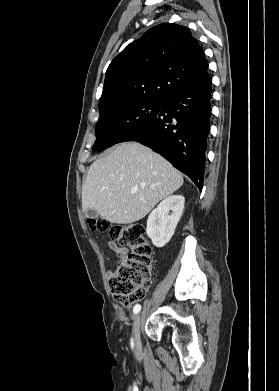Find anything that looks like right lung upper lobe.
<instances>
[{"label":"right lung upper lobe","instance_id":"obj_1","mask_svg":"<svg viewBox=\"0 0 279 391\" xmlns=\"http://www.w3.org/2000/svg\"><path fill=\"white\" fill-rule=\"evenodd\" d=\"M207 69L204 51L186 27L157 25L112 60L99 112L140 100L164 102Z\"/></svg>","mask_w":279,"mask_h":391}]
</instances>
